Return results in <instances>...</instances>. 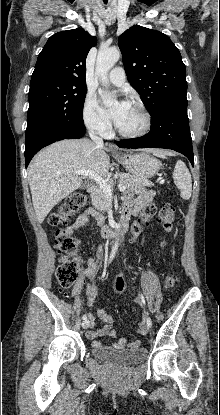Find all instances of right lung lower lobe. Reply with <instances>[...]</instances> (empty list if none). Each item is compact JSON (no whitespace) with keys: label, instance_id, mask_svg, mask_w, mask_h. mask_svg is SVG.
Listing matches in <instances>:
<instances>
[{"label":"right lung lower lobe","instance_id":"right-lung-lower-lobe-1","mask_svg":"<svg viewBox=\"0 0 220 415\" xmlns=\"http://www.w3.org/2000/svg\"><path fill=\"white\" fill-rule=\"evenodd\" d=\"M86 132L85 126L75 129L45 130L25 142L26 167L32 157L43 147L62 139H78Z\"/></svg>","mask_w":220,"mask_h":415}]
</instances>
